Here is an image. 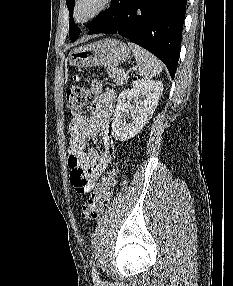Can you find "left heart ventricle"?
<instances>
[{
  "label": "left heart ventricle",
  "instance_id": "left-heart-ventricle-1",
  "mask_svg": "<svg viewBox=\"0 0 233 286\" xmlns=\"http://www.w3.org/2000/svg\"><path fill=\"white\" fill-rule=\"evenodd\" d=\"M99 4L100 0H83L78 8V17L86 18L99 7Z\"/></svg>",
  "mask_w": 233,
  "mask_h": 286
}]
</instances>
